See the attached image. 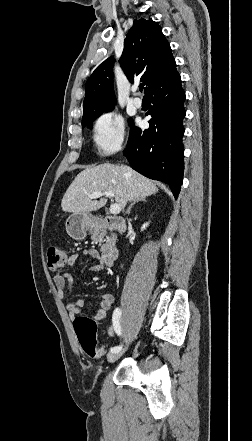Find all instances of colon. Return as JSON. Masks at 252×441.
<instances>
[{
	"label": "colon",
	"instance_id": "5ec220e1",
	"mask_svg": "<svg viewBox=\"0 0 252 441\" xmlns=\"http://www.w3.org/2000/svg\"><path fill=\"white\" fill-rule=\"evenodd\" d=\"M67 255L59 246H51L47 251V265L51 271H56L65 266ZM73 326L84 352L92 358H100L103 351L96 341V321L90 317H77Z\"/></svg>",
	"mask_w": 252,
	"mask_h": 441
}]
</instances>
